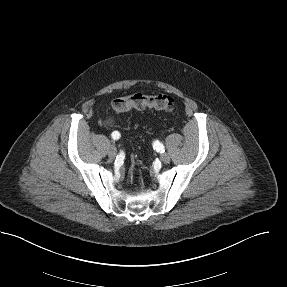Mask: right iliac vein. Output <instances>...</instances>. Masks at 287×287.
Returning <instances> with one entry per match:
<instances>
[{
    "instance_id": "right-iliac-vein-1",
    "label": "right iliac vein",
    "mask_w": 287,
    "mask_h": 287,
    "mask_svg": "<svg viewBox=\"0 0 287 287\" xmlns=\"http://www.w3.org/2000/svg\"><path fill=\"white\" fill-rule=\"evenodd\" d=\"M116 153H117V150L114 146H111L109 148V151H108V156L111 158V159H114L116 157Z\"/></svg>"
}]
</instances>
